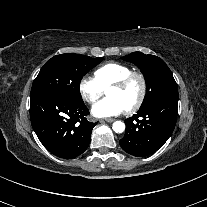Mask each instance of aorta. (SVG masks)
I'll list each match as a JSON object with an SVG mask.
<instances>
[{"label": "aorta", "instance_id": "1", "mask_svg": "<svg viewBox=\"0 0 207 207\" xmlns=\"http://www.w3.org/2000/svg\"><path fill=\"white\" fill-rule=\"evenodd\" d=\"M112 129L116 133H122L125 130V124L122 121H115L112 125Z\"/></svg>", "mask_w": 207, "mask_h": 207}]
</instances>
